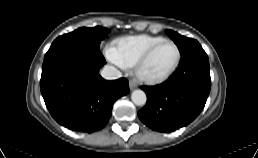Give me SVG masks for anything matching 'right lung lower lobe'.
Returning a JSON list of instances; mask_svg holds the SVG:
<instances>
[{
    "label": "right lung lower lobe",
    "instance_id": "right-lung-lower-lobe-1",
    "mask_svg": "<svg viewBox=\"0 0 258 158\" xmlns=\"http://www.w3.org/2000/svg\"><path fill=\"white\" fill-rule=\"evenodd\" d=\"M100 51L61 47L48 51L42 65L41 94L51 116L71 130L93 132L109 121L115 100L129 93L128 80L106 81L98 71Z\"/></svg>",
    "mask_w": 258,
    "mask_h": 158
}]
</instances>
